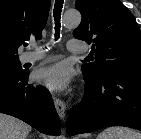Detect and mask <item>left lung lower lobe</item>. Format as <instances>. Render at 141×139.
Instances as JSON below:
<instances>
[{
  "instance_id": "0a47b994",
  "label": "left lung lower lobe",
  "mask_w": 141,
  "mask_h": 139,
  "mask_svg": "<svg viewBox=\"0 0 141 139\" xmlns=\"http://www.w3.org/2000/svg\"><path fill=\"white\" fill-rule=\"evenodd\" d=\"M85 95L68 115L67 134L108 126L141 130V73L108 70L100 76L83 72Z\"/></svg>"
}]
</instances>
